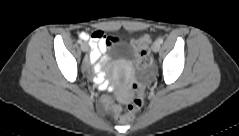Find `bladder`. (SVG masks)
I'll list each match as a JSON object with an SVG mask.
<instances>
[{
  "label": "bladder",
  "mask_w": 239,
  "mask_h": 136,
  "mask_svg": "<svg viewBox=\"0 0 239 136\" xmlns=\"http://www.w3.org/2000/svg\"><path fill=\"white\" fill-rule=\"evenodd\" d=\"M112 48L110 61H127L134 63L135 59L132 54V48L126 41H115L109 48Z\"/></svg>",
  "instance_id": "obj_1"
}]
</instances>
